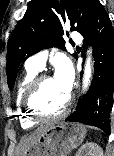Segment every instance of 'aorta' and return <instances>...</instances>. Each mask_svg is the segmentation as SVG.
Returning a JSON list of instances; mask_svg holds the SVG:
<instances>
[{"mask_svg": "<svg viewBox=\"0 0 114 156\" xmlns=\"http://www.w3.org/2000/svg\"><path fill=\"white\" fill-rule=\"evenodd\" d=\"M92 76V64H91V55L88 52V57L85 64V71L83 76V90L85 91L90 83V78Z\"/></svg>", "mask_w": 114, "mask_h": 156, "instance_id": "762f6f07", "label": "aorta"}]
</instances>
